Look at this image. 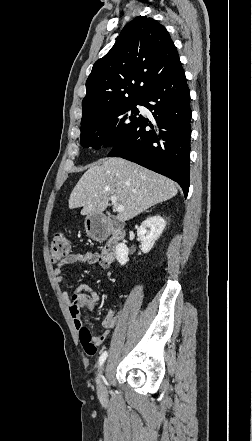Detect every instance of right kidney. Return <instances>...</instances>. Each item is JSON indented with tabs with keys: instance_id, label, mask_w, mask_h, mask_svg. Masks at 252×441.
Returning a JSON list of instances; mask_svg holds the SVG:
<instances>
[{
	"instance_id": "right-kidney-1",
	"label": "right kidney",
	"mask_w": 252,
	"mask_h": 441,
	"mask_svg": "<svg viewBox=\"0 0 252 441\" xmlns=\"http://www.w3.org/2000/svg\"><path fill=\"white\" fill-rule=\"evenodd\" d=\"M166 227V221L161 216H152L142 222L137 230V236L141 242L142 252L148 253L154 246ZM129 249L125 243H119L116 247V259L120 265H125L129 258Z\"/></svg>"
}]
</instances>
